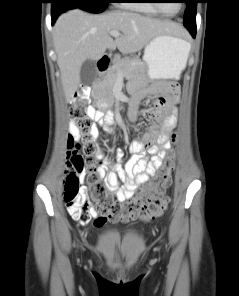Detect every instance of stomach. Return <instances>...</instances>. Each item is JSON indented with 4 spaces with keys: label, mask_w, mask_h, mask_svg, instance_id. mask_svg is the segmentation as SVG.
Here are the masks:
<instances>
[{
    "label": "stomach",
    "mask_w": 239,
    "mask_h": 296,
    "mask_svg": "<svg viewBox=\"0 0 239 296\" xmlns=\"http://www.w3.org/2000/svg\"><path fill=\"white\" fill-rule=\"evenodd\" d=\"M190 43L173 34L154 37L143 55L144 74L152 81L177 80L185 68Z\"/></svg>",
    "instance_id": "1"
}]
</instances>
